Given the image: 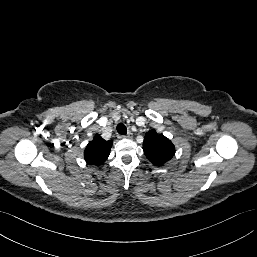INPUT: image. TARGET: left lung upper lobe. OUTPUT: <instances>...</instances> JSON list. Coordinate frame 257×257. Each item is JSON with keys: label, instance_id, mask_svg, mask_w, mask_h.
<instances>
[{"label": "left lung upper lobe", "instance_id": "1", "mask_svg": "<svg viewBox=\"0 0 257 257\" xmlns=\"http://www.w3.org/2000/svg\"><path fill=\"white\" fill-rule=\"evenodd\" d=\"M143 151L151 163L161 166L174 156L175 147L168 138L150 130L145 135Z\"/></svg>", "mask_w": 257, "mask_h": 257}]
</instances>
